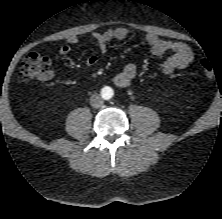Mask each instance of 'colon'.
Listing matches in <instances>:
<instances>
[{
    "label": "colon",
    "mask_w": 222,
    "mask_h": 219,
    "mask_svg": "<svg viewBox=\"0 0 222 219\" xmlns=\"http://www.w3.org/2000/svg\"><path fill=\"white\" fill-rule=\"evenodd\" d=\"M201 69L207 78L214 76L215 70L211 62L207 60L202 61ZM18 74L23 80H47L52 76L50 60L37 52H30L22 60Z\"/></svg>",
    "instance_id": "5ec220e1"
}]
</instances>
